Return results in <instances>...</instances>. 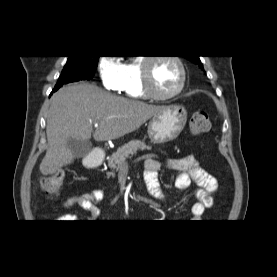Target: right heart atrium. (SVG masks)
<instances>
[{
    "mask_svg": "<svg viewBox=\"0 0 277 277\" xmlns=\"http://www.w3.org/2000/svg\"><path fill=\"white\" fill-rule=\"evenodd\" d=\"M98 72L103 87L109 91H121L123 86L122 64L112 56H102L98 60Z\"/></svg>",
    "mask_w": 277,
    "mask_h": 277,
    "instance_id": "d8ad5b80",
    "label": "right heart atrium"
}]
</instances>
